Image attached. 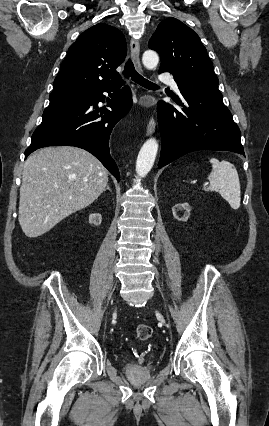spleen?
I'll return each mask as SVG.
<instances>
[{
  "instance_id": "obj_1",
  "label": "spleen",
  "mask_w": 269,
  "mask_h": 426,
  "mask_svg": "<svg viewBox=\"0 0 269 426\" xmlns=\"http://www.w3.org/2000/svg\"><path fill=\"white\" fill-rule=\"evenodd\" d=\"M212 171L208 175L209 186L205 191H216L230 204L231 208L238 209L241 202L240 181L236 168L229 161H219L211 158Z\"/></svg>"
}]
</instances>
